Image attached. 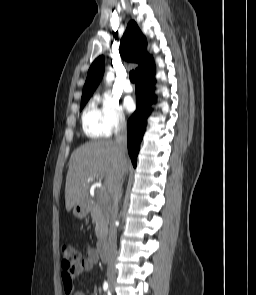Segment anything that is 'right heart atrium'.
<instances>
[{"label":"right heart atrium","mask_w":256,"mask_h":295,"mask_svg":"<svg viewBox=\"0 0 256 295\" xmlns=\"http://www.w3.org/2000/svg\"><path fill=\"white\" fill-rule=\"evenodd\" d=\"M100 103L102 121L108 135L118 132L126 126V118L118 101L108 93L97 96Z\"/></svg>","instance_id":"d8ad5b80"}]
</instances>
